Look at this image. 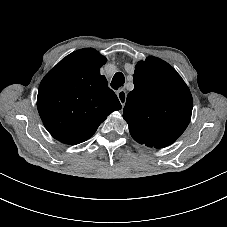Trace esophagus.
Wrapping results in <instances>:
<instances>
[{"mask_svg": "<svg viewBox=\"0 0 227 227\" xmlns=\"http://www.w3.org/2000/svg\"><path fill=\"white\" fill-rule=\"evenodd\" d=\"M117 97L120 101V104L122 105V109L126 103V99H127V93L125 90L121 89L119 91H117Z\"/></svg>", "mask_w": 227, "mask_h": 227, "instance_id": "esophagus-1", "label": "esophagus"}]
</instances>
